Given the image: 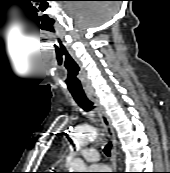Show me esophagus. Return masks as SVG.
<instances>
[{"mask_svg": "<svg viewBox=\"0 0 170 173\" xmlns=\"http://www.w3.org/2000/svg\"><path fill=\"white\" fill-rule=\"evenodd\" d=\"M86 95L89 98V100L94 103L97 113L100 117V120L111 141V144H112L111 163H112V170H113L112 172H115L114 170L116 169V138H115V133H114L110 118H109L104 106L100 102L99 97L97 96V94L95 92H93V91L87 92Z\"/></svg>", "mask_w": 170, "mask_h": 173, "instance_id": "34e87169", "label": "esophagus"}]
</instances>
